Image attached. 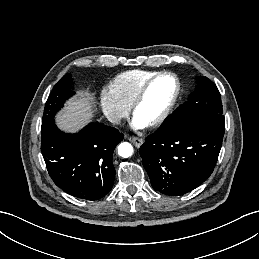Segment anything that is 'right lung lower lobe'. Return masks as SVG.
<instances>
[{
  "label": "right lung lower lobe",
  "instance_id": "1",
  "mask_svg": "<svg viewBox=\"0 0 259 259\" xmlns=\"http://www.w3.org/2000/svg\"><path fill=\"white\" fill-rule=\"evenodd\" d=\"M41 132V152L59 188L86 200H98L109 193L115 178L113 150L123 140L122 133L96 122L79 133L65 134L54 120Z\"/></svg>",
  "mask_w": 259,
  "mask_h": 259
}]
</instances>
